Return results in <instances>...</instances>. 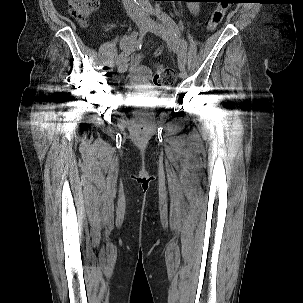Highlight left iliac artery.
Segmentation results:
<instances>
[{
	"instance_id": "1",
	"label": "left iliac artery",
	"mask_w": 303,
	"mask_h": 303,
	"mask_svg": "<svg viewBox=\"0 0 303 303\" xmlns=\"http://www.w3.org/2000/svg\"><path fill=\"white\" fill-rule=\"evenodd\" d=\"M145 8L150 14H155L158 17V19H160L163 23H165L169 28L174 30L175 34L178 37L181 36L180 28L178 27L176 22L167 13L161 11L160 9H156V10L153 9V7L151 6L150 3H146ZM186 55H187V43L184 39H182L181 48H180L179 55H178L179 65H181V66L186 65V58H187Z\"/></svg>"
}]
</instances>
